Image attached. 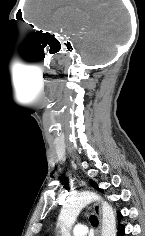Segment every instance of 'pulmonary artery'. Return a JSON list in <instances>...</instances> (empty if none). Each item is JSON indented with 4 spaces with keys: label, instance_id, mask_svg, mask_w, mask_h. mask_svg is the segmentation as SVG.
<instances>
[{
    "label": "pulmonary artery",
    "instance_id": "1",
    "mask_svg": "<svg viewBox=\"0 0 145 236\" xmlns=\"http://www.w3.org/2000/svg\"><path fill=\"white\" fill-rule=\"evenodd\" d=\"M86 233H87V227L83 224L76 225L72 230L73 236H85Z\"/></svg>",
    "mask_w": 145,
    "mask_h": 236
}]
</instances>
